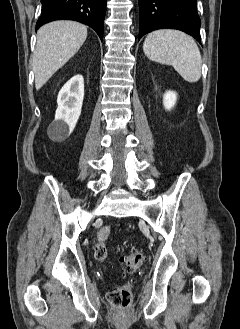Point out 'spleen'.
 <instances>
[{"label":"spleen","mask_w":240,"mask_h":329,"mask_svg":"<svg viewBox=\"0 0 240 329\" xmlns=\"http://www.w3.org/2000/svg\"><path fill=\"white\" fill-rule=\"evenodd\" d=\"M143 51L152 61L172 65L189 83L197 82L201 77L199 48L192 37L181 31L160 29L149 33Z\"/></svg>","instance_id":"3e777b00"}]
</instances>
